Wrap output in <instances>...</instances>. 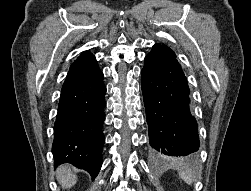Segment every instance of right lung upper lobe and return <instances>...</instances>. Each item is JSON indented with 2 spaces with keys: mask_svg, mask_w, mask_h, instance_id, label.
I'll return each mask as SVG.
<instances>
[{
  "mask_svg": "<svg viewBox=\"0 0 251 191\" xmlns=\"http://www.w3.org/2000/svg\"><path fill=\"white\" fill-rule=\"evenodd\" d=\"M100 72L94 55L88 51L82 52L71 65L62 88L85 81Z\"/></svg>",
  "mask_w": 251,
  "mask_h": 191,
  "instance_id": "right-lung-upper-lobe-1",
  "label": "right lung upper lobe"
}]
</instances>
